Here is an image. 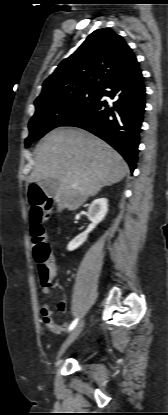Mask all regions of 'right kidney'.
I'll return each instance as SVG.
<instances>
[{
	"label": "right kidney",
	"mask_w": 168,
	"mask_h": 415,
	"mask_svg": "<svg viewBox=\"0 0 168 415\" xmlns=\"http://www.w3.org/2000/svg\"><path fill=\"white\" fill-rule=\"evenodd\" d=\"M108 211V200L106 198H100L94 200L87 211V217L91 221V224L88 228L78 236H76L72 241L69 242L67 249L72 251L82 245L87 237L88 234L99 224L104 217L106 216Z\"/></svg>",
	"instance_id": "right-kidney-1"
}]
</instances>
